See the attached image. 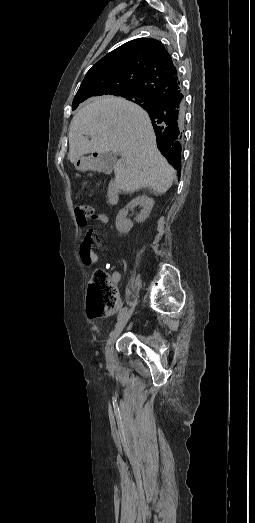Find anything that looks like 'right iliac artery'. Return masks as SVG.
<instances>
[{"instance_id": "82829eb1", "label": "right iliac artery", "mask_w": 255, "mask_h": 523, "mask_svg": "<svg viewBox=\"0 0 255 523\" xmlns=\"http://www.w3.org/2000/svg\"><path fill=\"white\" fill-rule=\"evenodd\" d=\"M126 311H127V308H126V307L123 308V309L120 311V313H119V315H118V318H117L118 321H120V320L123 318V316L126 314Z\"/></svg>"}]
</instances>
